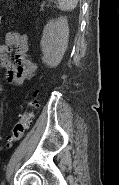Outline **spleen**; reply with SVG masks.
I'll return each instance as SVG.
<instances>
[{"instance_id": "1", "label": "spleen", "mask_w": 119, "mask_h": 185, "mask_svg": "<svg viewBox=\"0 0 119 185\" xmlns=\"http://www.w3.org/2000/svg\"><path fill=\"white\" fill-rule=\"evenodd\" d=\"M58 7L63 11H70L76 8L78 0H57Z\"/></svg>"}]
</instances>
